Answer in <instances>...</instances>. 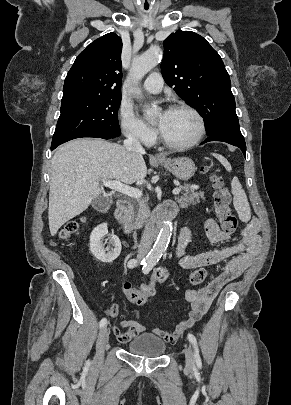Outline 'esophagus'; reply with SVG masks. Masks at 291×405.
<instances>
[{
  "mask_svg": "<svg viewBox=\"0 0 291 405\" xmlns=\"http://www.w3.org/2000/svg\"><path fill=\"white\" fill-rule=\"evenodd\" d=\"M154 158H155V159H160V158H161V156H160V155H158V154H156V155L154 156Z\"/></svg>",
  "mask_w": 291,
  "mask_h": 405,
  "instance_id": "34e87169",
  "label": "esophagus"
}]
</instances>
